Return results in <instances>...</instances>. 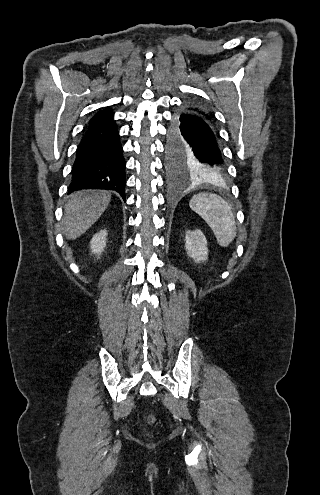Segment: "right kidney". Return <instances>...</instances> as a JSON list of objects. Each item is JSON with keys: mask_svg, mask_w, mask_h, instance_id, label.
<instances>
[{"mask_svg": "<svg viewBox=\"0 0 320 495\" xmlns=\"http://www.w3.org/2000/svg\"><path fill=\"white\" fill-rule=\"evenodd\" d=\"M106 235L107 231L103 230L95 234L91 240V250L92 253L100 255L106 246Z\"/></svg>", "mask_w": 320, "mask_h": 495, "instance_id": "right-kidney-1", "label": "right kidney"}]
</instances>
